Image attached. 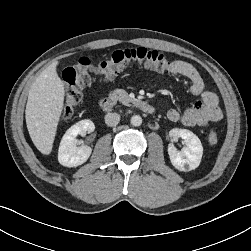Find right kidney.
Listing matches in <instances>:
<instances>
[{"label": "right kidney", "mask_w": 251, "mask_h": 251, "mask_svg": "<svg viewBox=\"0 0 251 251\" xmlns=\"http://www.w3.org/2000/svg\"><path fill=\"white\" fill-rule=\"evenodd\" d=\"M95 129L94 123L89 120H81L71 126L60 142L58 150V161L66 167H76L88 160L92 149L89 146L77 147V135H85L87 132H93Z\"/></svg>", "instance_id": "1"}]
</instances>
